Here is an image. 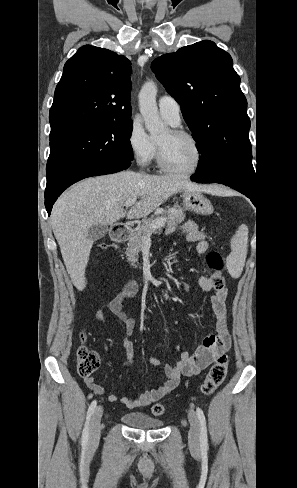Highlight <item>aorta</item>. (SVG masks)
Segmentation results:
<instances>
[{
    "instance_id": "1",
    "label": "aorta",
    "mask_w": 297,
    "mask_h": 488,
    "mask_svg": "<svg viewBox=\"0 0 297 488\" xmlns=\"http://www.w3.org/2000/svg\"><path fill=\"white\" fill-rule=\"evenodd\" d=\"M156 95L157 86L153 81H147L138 95L140 113L151 135H159L166 130V125L158 114Z\"/></svg>"
}]
</instances>
